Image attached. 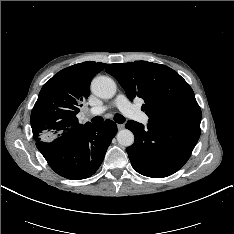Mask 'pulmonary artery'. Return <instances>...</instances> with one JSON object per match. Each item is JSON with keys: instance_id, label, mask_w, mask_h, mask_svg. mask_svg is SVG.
<instances>
[{"instance_id": "1", "label": "pulmonary artery", "mask_w": 234, "mask_h": 234, "mask_svg": "<svg viewBox=\"0 0 234 234\" xmlns=\"http://www.w3.org/2000/svg\"><path fill=\"white\" fill-rule=\"evenodd\" d=\"M114 106H116L121 112H123L126 116L133 118L137 121H140L142 123H146L148 120V117L142 113L140 110L135 108L127 99V97L124 94H119L112 103ZM108 109V106H99V107H93L89 110V114L91 115H98L103 113Z\"/></svg>"}]
</instances>
